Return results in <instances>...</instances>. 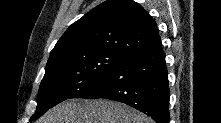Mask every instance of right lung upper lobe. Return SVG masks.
<instances>
[{"instance_id": "cb5924a9", "label": "right lung upper lobe", "mask_w": 221, "mask_h": 123, "mask_svg": "<svg viewBox=\"0 0 221 123\" xmlns=\"http://www.w3.org/2000/svg\"><path fill=\"white\" fill-rule=\"evenodd\" d=\"M159 46L156 22L140 4L132 0H107L67 29L48 61L96 48L128 55Z\"/></svg>"}]
</instances>
